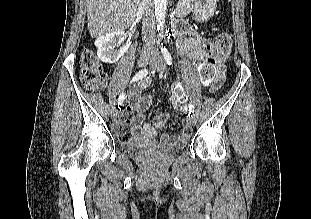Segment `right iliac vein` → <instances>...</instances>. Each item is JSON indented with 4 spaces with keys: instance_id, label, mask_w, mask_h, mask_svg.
<instances>
[{
    "instance_id": "obj_1",
    "label": "right iliac vein",
    "mask_w": 311,
    "mask_h": 219,
    "mask_svg": "<svg viewBox=\"0 0 311 219\" xmlns=\"http://www.w3.org/2000/svg\"><path fill=\"white\" fill-rule=\"evenodd\" d=\"M149 60H150L149 56L142 55V56L139 57V59L137 61V64H138L139 67H145ZM112 117L114 119H117V117H118V110L117 109H113L112 110Z\"/></svg>"
}]
</instances>
